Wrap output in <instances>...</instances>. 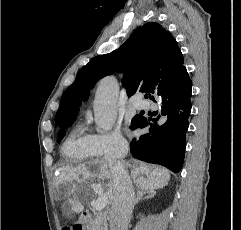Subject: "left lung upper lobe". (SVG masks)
Returning <instances> with one entry per match:
<instances>
[{"label": "left lung upper lobe", "mask_w": 241, "mask_h": 230, "mask_svg": "<svg viewBox=\"0 0 241 230\" xmlns=\"http://www.w3.org/2000/svg\"><path fill=\"white\" fill-rule=\"evenodd\" d=\"M63 135H64V132L62 131L61 133H60V138H62L63 137Z\"/></svg>", "instance_id": "1"}]
</instances>
